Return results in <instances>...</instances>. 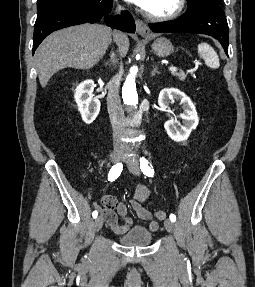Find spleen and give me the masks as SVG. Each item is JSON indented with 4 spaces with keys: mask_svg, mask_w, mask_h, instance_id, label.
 Listing matches in <instances>:
<instances>
[{
    "mask_svg": "<svg viewBox=\"0 0 255 287\" xmlns=\"http://www.w3.org/2000/svg\"><path fill=\"white\" fill-rule=\"evenodd\" d=\"M198 52L200 56L204 58L206 66H209V68H219V58L209 44H200V46H198Z\"/></svg>",
    "mask_w": 255,
    "mask_h": 287,
    "instance_id": "3e777b00",
    "label": "spleen"
}]
</instances>
